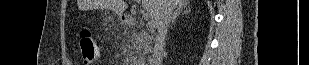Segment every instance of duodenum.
Listing matches in <instances>:
<instances>
[{
  "label": "duodenum",
  "mask_w": 309,
  "mask_h": 65,
  "mask_svg": "<svg viewBox=\"0 0 309 65\" xmlns=\"http://www.w3.org/2000/svg\"><path fill=\"white\" fill-rule=\"evenodd\" d=\"M123 23H124L126 26L134 27L135 24H136V20H135L134 17L125 16V17H123Z\"/></svg>",
  "instance_id": "duodenum-1"
}]
</instances>
